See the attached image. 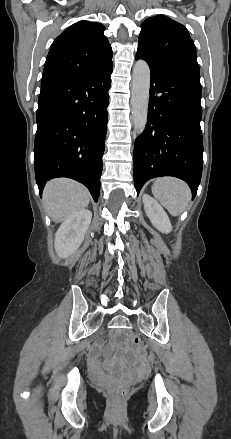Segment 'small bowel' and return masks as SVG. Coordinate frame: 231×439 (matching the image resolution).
I'll list each match as a JSON object with an SVG mask.
<instances>
[{"label":"small bowel","instance_id":"1","mask_svg":"<svg viewBox=\"0 0 231 439\" xmlns=\"http://www.w3.org/2000/svg\"><path fill=\"white\" fill-rule=\"evenodd\" d=\"M92 368H93V371H94L98 376H102V375H104L103 370H102V367H101V362L99 361V359H98L96 356L92 359ZM139 368H140L141 370H145V369H146V366H145L144 364H140V365H139Z\"/></svg>","mask_w":231,"mask_h":439}]
</instances>
